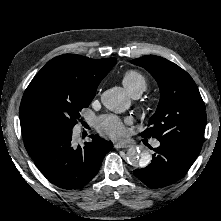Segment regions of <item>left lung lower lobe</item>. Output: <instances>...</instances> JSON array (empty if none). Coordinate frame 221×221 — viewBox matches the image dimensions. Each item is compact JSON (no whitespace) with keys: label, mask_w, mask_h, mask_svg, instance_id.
<instances>
[{"label":"left lung lower lobe","mask_w":221,"mask_h":221,"mask_svg":"<svg viewBox=\"0 0 221 221\" xmlns=\"http://www.w3.org/2000/svg\"><path fill=\"white\" fill-rule=\"evenodd\" d=\"M153 150L155 153L152 162L145 168L133 171L137 178L151 188H161L177 182L197 158V155L168 143H161Z\"/></svg>","instance_id":"left-lung-lower-lobe-1"}]
</instances>
